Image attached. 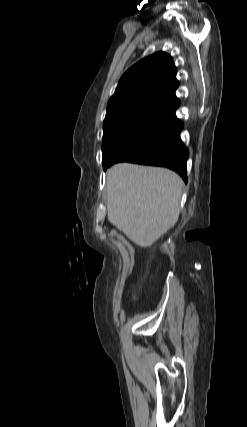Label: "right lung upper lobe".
<instances>
[{
  "instance_id": "cb5924a9",
  "label": "right lung upper lobe",
  "mask_w": 247,
  "mask_h": 427,
  "mask_svg": "<svg viewBox=\"0 0 247 427\" xmlns=\"http://www.w3.org/2000/svg\"><path fill=\"white\" fill-rule=\"evenodd\" d=\"M177 87L171 56L155 53L133 65L121 77L109 100L107 114L133 109L153 112L176 98Z\"/></svg>"
}]
</instances>
